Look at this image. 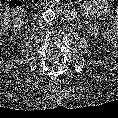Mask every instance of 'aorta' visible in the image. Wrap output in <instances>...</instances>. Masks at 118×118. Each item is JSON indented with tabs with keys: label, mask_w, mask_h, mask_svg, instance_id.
<instances>
[{
	"label": "aorta",
	"mask_w": 118,
	"mask_h": 118,
	"mask_svg": "<svg viewBox=\"0 0 118 118\" xmlns=\"http://www.w3.org/2000/svg\"><path fill=\"white\" fill-rule=\"evenodd\" d=\"M55 17L56 14L52 9H48L42 14V19L47 23L52 22L55 19Z\"/></svg>",
	"instance_id": "obj_1"
}]
</instances>
